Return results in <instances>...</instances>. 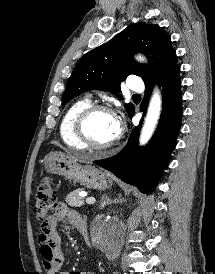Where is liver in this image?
<instances>
[{"instance_id": "obj_1", "label": "liver", "mask_w": 215, "mask_h": 274, "mask_svg": "<svg viewBox=\"0 0 215 274\" xmlns=\"http://www.w3.org/2000/svg\"><path fill=\"white\" fill-rule=\"evenodd\" d=\"M76 161H78L79 159L78 158H76V157H73Z\"/></svg>"}]
</instances>
